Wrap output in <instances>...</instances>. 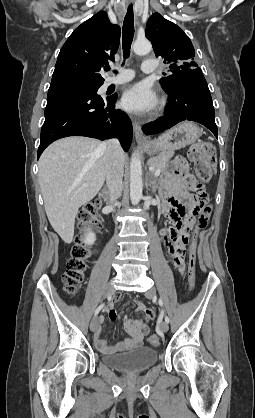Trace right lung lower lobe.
<instances>
[{
  "mask_svg": "<svg viewBox=\"0 0 255 418\" xmlns=\"http://www.w3.org/2000/svg\"><path fill=\"white\" fill-rule=\"evenodd\" d=\"M98 89H49L45 122L41 129L38 159L53 141L68 136H86L105 140L117 137L127 152L132 141L129 117L113 106L117 95L107 98Z\"/></svg>",
  "mask_w": 255,
  "mask_h": 418,
  "instance_id": "right-lung-lower-lobe-1",
  "label": "right lung lower lobe"
}]
</instances>
